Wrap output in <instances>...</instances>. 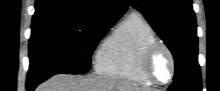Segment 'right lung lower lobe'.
Instances as JSON below:
<instances>
[{
  "mask_svg": "<svg viewBox=\"0 0 220 91\" xmlns=\"http://www.w3.org/2000/svg\"><path fill=\"white\" fill-rule=\"evenodd\" d=\"M39 83L40 82H27L26 88L28 91H33Z\"/></svg>",
  "mask_w": 220,
  "mask_h": 91,
  "instance_id": "right-lung-lower-lobe-1",
  "label": "right lung lower lobe"
}]
</instances>
